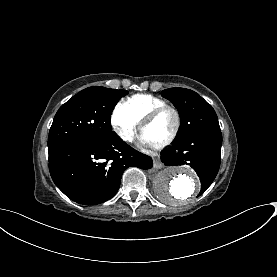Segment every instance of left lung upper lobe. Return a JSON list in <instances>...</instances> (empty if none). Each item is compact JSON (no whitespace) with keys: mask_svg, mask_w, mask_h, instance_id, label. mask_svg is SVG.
Returning <instances> with one entry per match:
<instances>
[{"mask_svg":"<svg viewBox=\"0 0 277 277\" xmlns=\"http://www.w3.org/2000/svg\"><path fill=\"white\" fill-rule=\"evenodd\" d=\"M162 96L178 109L181 128L177 139L205 131H221L217 115L199 94L185 88H169Z\"/></svg>","mask_w":277,"mask_h":277,"instance_id":"1","label":"left lung upper lobe"}]
</instances>
